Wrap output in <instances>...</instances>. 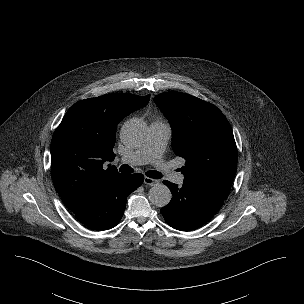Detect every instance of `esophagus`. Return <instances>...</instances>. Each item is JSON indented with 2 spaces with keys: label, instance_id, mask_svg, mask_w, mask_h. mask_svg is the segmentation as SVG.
<instances>
[{
  "label": "esophagus",
  "instance_id": "34e87169",
  "mask_svg": "<svg viewBox=\"0 0 304 304\" xmlns=\"http://www.w3.org/2000/svg\"><path fill=\"white\" fill-rule=\"evenodd\" d=\"M144 183L146 185H149V186H154V185L159 183V180L152 179V178H149V177H145L144 178Z\"/></svg>",
  "mask_w": 304,
  "mask_h": 304
}]
</instances>
